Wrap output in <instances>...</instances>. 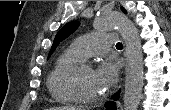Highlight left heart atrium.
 <instances>
[{
	"instance_id": "left-heart-atrium-1",
	"label": "left heart atrium",
	"mask_w": 171,
	"mask_h": 110,
	"mask_svg": "<svg viewBox=\"0 0 171 110\" xmlns=\"http://www.w3.org/2000/svg\"><path fill=\"white\" fill-rule=\"evenodd\" d=\"M118 72L119 67L116 62L106 61L95 70V77L101 87L106 91L117 81Z\"/></svg>"
}]
</instances>
